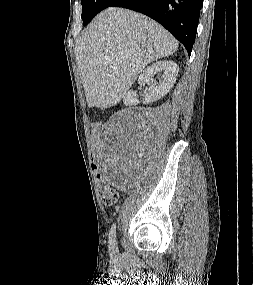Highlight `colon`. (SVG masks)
Segmentation results:
<instances>
[{"mask_svg":"<svg viewBox=\"0 0 253 285\" xmlns=\"http://www.w3.org/2000/svg\"><path fill=\"white\" fill-rule=\"evenodd\" d=\"M99 133H100L99 126L91 127V134H92L91 147L93 148V150H91V155H93L94 157L92 158L93 167H91V172L92 176H94V179L98 180V189L102 202L105 205L109 206L117 201L118 193L115 190V188L106 180L107 176L103 175L101 161L99 160V158H97L99 155V151L101 150V144H100L101 137L99 136Z\"/></svg>","mask_w":253,"mask_h":285,"instance_id":"1","label":"colon"}]
</instances>
